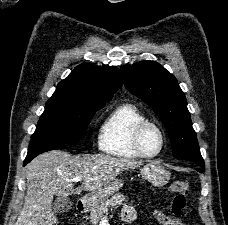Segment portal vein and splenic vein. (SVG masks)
<instances>
[{
  "label": "portal vein and splenic vein",
  "mask_w": 228,
  "mask_h": 225,
  "mask_svg": "<svg viewBox=\"0 0 228 225\" xmlns=\"http://www.w3.org/2000/svg\"><path fill=\"white\" fill-rule=\"evenodd\" d=\"M71 181H74V183H79V181H82V177H75V179H71Z\"/></svg>",
  "instance_id": "portal-vein-and-splenic-vein-1"
}]
</instances>
